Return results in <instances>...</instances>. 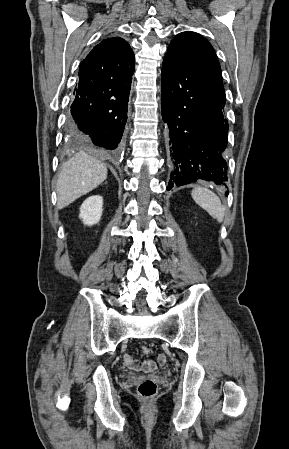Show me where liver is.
Here are the masks:
<instances>
[{
  "label": "liver",
  "mask_w": 289,
  "mask_h": 449,
  "mask_svg": "<svg viewBox=\"0 0 289 449\" xmlns=\"http://www.w3.org/2000/svg\"><path fill=\"white\" fill-rule=\"evenodd\" d=\"M107 178L104 163L86 153H78L63 164L56 184L57 207H67L95 189Z\"/></svg>",
  "instance_id": "6515ba94"
}]
</instances>
